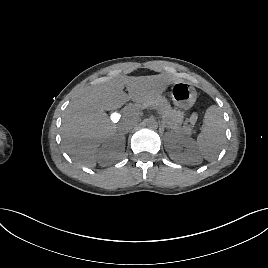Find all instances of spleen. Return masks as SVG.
I'll return each mask as SVG.
<instances>
[{"mask_svg": "<svg viewBox=\"0 0 268 268\" xmlns=\"http://www.w3.org/2000/svg\"><path fill=\"white\" fill-rule=\"evenodd\" d=\"M225 142V121L221 109L210 106L204 115V127L197 137L196 146L208 161L214 160Z\"/></svg>", "mask_w": 268, "mask_h": 268, "instance_id": "obj_1", "label": "spleen"}]
</instances>
